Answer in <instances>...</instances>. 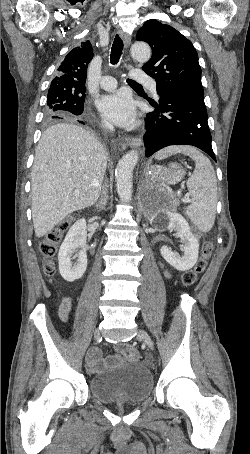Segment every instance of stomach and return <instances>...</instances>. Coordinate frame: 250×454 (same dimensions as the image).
Here are the masks:
<instances>
[{
    "mask_svg": "<svg viewBox=\"0 0 250 454\" xmlns=\"http://www.w3.org/2000/svg\"><path fill=\"white\" fill-rule=\"evenodd\" d=\"M183 175V170L178 165L172 164L169 168L157 169L154 172L153 177L160 182L173 184L178 182L183 177Z\"/></svg>",
    "mask_w": 250,
    "mask_h": 454,
    "instance_id": "obj_1",
    "label": "stomach"
}]
</instances>
